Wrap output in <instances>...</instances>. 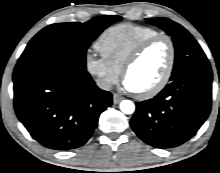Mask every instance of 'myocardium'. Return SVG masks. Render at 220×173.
I'll return each mask as SVG.
<instances>
[{
    "label": "myocardium",
    "instance_id": "1",
    "mask_svg": "<svg viewBox=\"0 0 220 173\" xmlns=\"http://www.w3.org/2000/svg\"><path fill=\"white\" fill-rule=\"evenodd\" d=\"M159 40H166L169 44L170 49V57L168 66L166 68V71L162 78L150 89L144 91V92H136L132 90V94L141 100H146L155 97L158 95L169 83L176 63V47L174 44L173 39L167 35V34H157L154 35L142 43H140L135 50L131 53V55L126 60L123 68H122V78L125 80L129 70L133 67V65L142 57V55L145 53V51L152 46L154 43H156Z\"/></svg>",
    "mask_w": 220,
    "mask_h": 173
}]
</instances>
